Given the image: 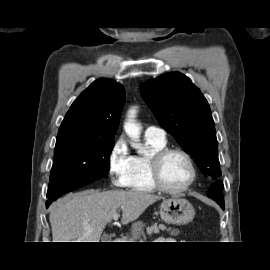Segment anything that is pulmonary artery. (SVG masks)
Returning <instances> with one entry per match:
<instances>
[{"instance_id": "1", "label": "pulmonary artery", "mask_w": 270, "mask_h": 270, "mask_svg": "<svg viewBox=\"0 0 270 270\" xmlns=\"http://www.w3.org/2000/svg\"><path fill=\"white\" fill-rule=\"evenodd\" d=\"M145 136L148 138L165 141L166 140V132L164 129L155 127V126H149L145 130Z\"/></svg>"}]
</instances>
